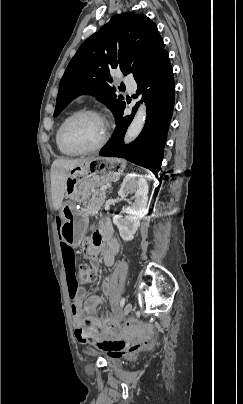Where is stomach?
<instances>
[{
	"label": "stomach",
	"mask_w": 243,
	"mask_h": 404,
	"mask_svg": "<svg viewBox=\"0 0 243 404\" xmlns=\"http://www.w3.org/2000/svg\"><path fill=\"white\" fill-rule=\"evenodd\" d=\"M126 168L121 159L93 157L67 173L65 195L69 199L61 207V235L69 246H78L85 236L88 216L76 208L77 203H84L90 197V190L117 180Z\"/></svg>",
	"instance_id": "1"
}]
</instances>
